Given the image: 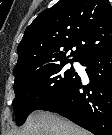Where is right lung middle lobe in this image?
Masks as SVG:
<instances>
[{"instance_id": "obj_1", "label": "right lung middle lobe", "mask_w": 112, "mask_h": 135, "mask_svg": "<svg viewBox=\"0 0 112 135\" xmlns=\"http://www.w3.org/2000/svg\"><path fill=\"white\" fill-rule=\"evenodd\" d=\"M71 61L49 63L40 70L27 76L15 78L13 108L17 126H21L27 116L40 107L59 96L68 89L77 76L71 67H63Z\"/></svg>"}]
</instances>
